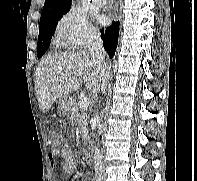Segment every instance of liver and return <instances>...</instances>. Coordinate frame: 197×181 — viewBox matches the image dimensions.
<instances>
[{"mask_svg":"<svg viewBox=\"0 0 197 181\" xmlns=\"http://www.w3.org/2000/svg\"><path fill=\"white\" fill-rule=\"evenodd\" d=\"M83 78L91 93L101 89L103 77L88 53L69 51L43 58L35 71V91L41 111L47 112L57 99L77 91Z\"/></svg>","mask_w":197,"mask_h":181,"instance_id":"liver-1","label":"liver"}]
</instances>
